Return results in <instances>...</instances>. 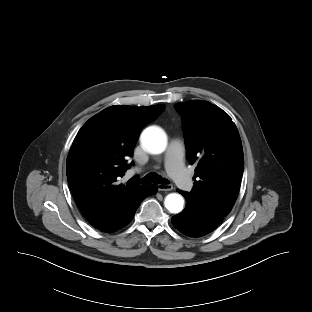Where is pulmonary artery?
Listing matches in <instances>:
<instances>
[{
	"label": "pulmonary artery",
	"mask_w": 312,
	"mask_h": 312,
	"mask_svg": "<svg viewBox=\"0 0 312 312\" xmlns=\"http://www.w3.org/2000/svg\"><path fill=\"white\" fill-rule=\"evenodd\" d=\"M165 167L175 184L183 191L190 188L192 180L184 166V146L178 140H172L166 150Z\"/></svg>",
	"instance_id": "1"
}]
</instances>
